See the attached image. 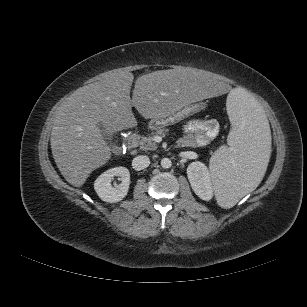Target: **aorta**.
Wrapping results in <instances>:
<instances>
[{
    "mask_svg": "<svg viewBox=\"0 0 307 307\" xmlns=\"http://www.w3.org/2000/svg\"><path fill=\"white\" fill-rule=\"evenodd\" d=\"M161 166L164 168V169H168L172 166V162L169 158H163L161 160Z\"/></svg>",
    "mask_w": 307,
    "mask_h": 307,
    "instance_id": "1",
    "label": "aorta"
}]
</instances>
